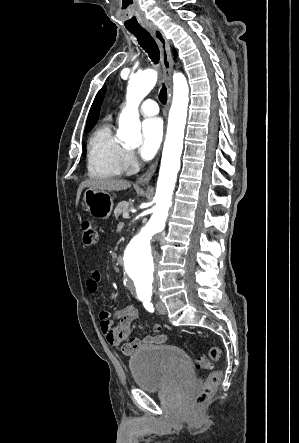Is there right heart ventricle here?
Here are the masks:
<instances>
[{
  "label": "right heart ventricle",
  "instance_id": "1",
  "mask_svg": "<svg viewBox=\"0 0 299 443\" xmlns=\"http://www.w3.org/2000/svg\"><path fill=\"white\" fill-rule=\"evenodd\" d=\"M125 148L105 123L98 127L88 142L87 170L93 178H114L124 171Z\"/></svg>",
  "mask_w": 299,
  "mask_h": 443
}]
</instances>
